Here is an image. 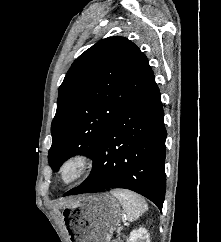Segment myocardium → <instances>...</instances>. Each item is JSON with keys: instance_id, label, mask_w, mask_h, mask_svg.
<instances>
[{"instance_id": "obj_1", "label": "myocardium", "mask_w": 221, "mask_h": 242, "mask_svg": "<svg viewBox=\"0 0 221 242\" xmlns=\"http://www.w3.org/2000/svg\"><path fill=\"white\" fill-rule=\"evenodd\" d=\"M93 167L86 153H74L65 157L58 165L56 179L63 186H70L87 176Z\"/></svg>"}]
</instances>
